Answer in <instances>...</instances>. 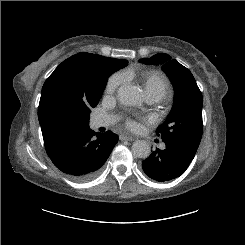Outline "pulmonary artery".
<instances>
[{"mask_svg": "<svg viewBox=\"0 0 245 245\" xmlns=\"http://www.w3.org/2000/svg\"><path fill=\"white\" fill-rule=\"evenodd\" d=\"M147 101L150 103H153L156 101L155 98L147 96ZM113 122V118L109 117V116H99L97 118H95L94 123L96 126L101 127V126H109L110 124H112ZM164 148V146H163Z\"/></svg>", "mask_w": 245, "mask_h": 245, "instance_id": "obj_1", "label": "pulmonary artery"}]
</instances>
